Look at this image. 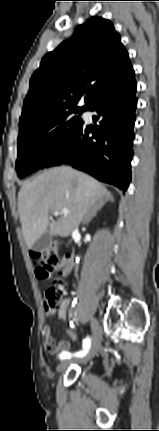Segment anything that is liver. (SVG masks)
Masks as SVG:
<instances>
[{
    "label": "liver",
    "instance_id": "liver-1",
    "mask_svg": "<svg viewBox=\"0 0 159 431\" xmlns=\"http://www.w3.org/2000/svg\"><path fill=\"white\" fill-rule=\"evenodd\" d=\"M110 195L96 179L72 169L54 167L25 182L18 194V212L28 247L46 231L52 236L68 237L91 208ZM67 209L57 221L50 211Z\"/></svg>",
    "mask_w": 159,
    "mask_h": 431
}]
</instances>
